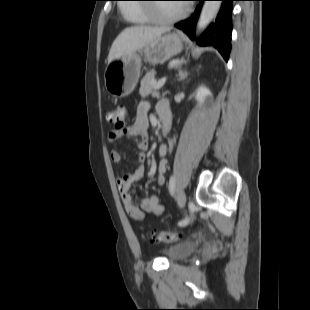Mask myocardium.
Segmentation results:
<instances>
[{
	"label": "myocardium",
	"instance_id": "myocardium-1",
	"mask_svg": "<svg viewBox=\"0 0 310 310\" xmlns=\"http://www.w3.org/2000/svg\"><path fill=\"white\" fill-rule=\"evenodd\" d=\"M150 19L155 23H172L182 19L189 12L188 8H182L179 12L172 15H159L155 7H146Z\"/></svg>",
	"mask_w": 310,
	"mask_h": 310
}]
</instances>
